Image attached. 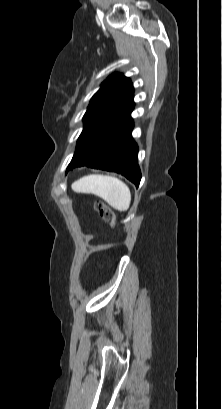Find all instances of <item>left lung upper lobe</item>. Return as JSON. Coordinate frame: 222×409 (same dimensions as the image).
I'll list each match as a JSON object with an SVG mask.
<instances>
[{
	"mask_svg": "<svg viewBox=\"0 0 222 409\" xmlns=\"http://www.w3.org/2000/svg\"><path fill=\"white\" fill-rule=\"evenodd\" d=\"M132 105L133 86L129 78L115 73L104 81L83 117L84 129L78 138L72 161L101 130L120 118Z\"/></svg>",
	"mask_w": 222,
	"mask_h": 409,
	"instance_id": "1",
	"label": "left lung upper lobe"
}]
</instances>
